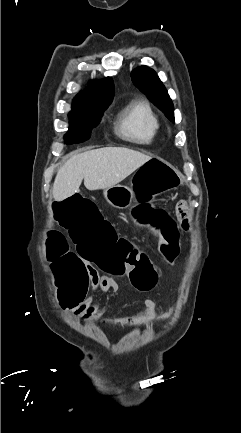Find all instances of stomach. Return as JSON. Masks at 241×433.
I'll use <instances>...</instances> for the list:
<instances>
[{
    "instance_id": "1",
    "label": "stomach",
    "mask_w": 241,
    "mask_h": 433,
    "mask_svg": "<svg viewBox=\"0 0 241 433\" xmlns=\"http://www.w3.org/2000/svg\"><path fill=\"white\" fill-rule=\"evenodd\" d=\"M133 186L115 185L104 190L106 201L118 209H128L134 201Z\"/></svg>"
}]
</instances>
